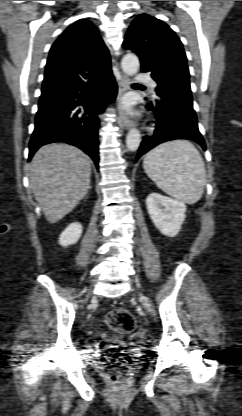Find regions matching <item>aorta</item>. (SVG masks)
<instances>
[{
  "instance_id": "1",
  "label": "aorta",
  "mask_w": 242,
  "mask_h": 416,
  "mask_svg": "<svg viewBox=\"0 0 242 416\" xmlns=\"http://www.w3.org/2000/svg\"><path fill=\"white\" fill-rule=\"evenodd\" d=\"M122 70L128 76L135 75L140 67L138 57L133 53L126 54L121 62ZM141 142V135L137 129H131L126 137V146L130 151H136Z\"/></svg>"
}]
</instances>
